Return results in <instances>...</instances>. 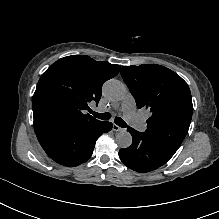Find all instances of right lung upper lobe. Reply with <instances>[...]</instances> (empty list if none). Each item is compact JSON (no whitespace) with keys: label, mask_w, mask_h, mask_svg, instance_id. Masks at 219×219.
<instances>
[{"label":"right lung upper lobe","mask_w":219,"mask_h":219,"mask_svg":"<svg viewBox=\"0 0 219 219\" xmlns=\"http://www.w3.org/2000/svg\"><path fill=\"white\" fill-rule=\"evenodd\" d=\"M120 65L98 62L89 56L72 55L53 63L41 76L33 95L34 128L98 122L82 111L98 104L105 81L115 77Z\"/></svg>","instance_id":"obj_1"}]
</instances>
